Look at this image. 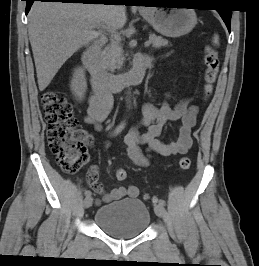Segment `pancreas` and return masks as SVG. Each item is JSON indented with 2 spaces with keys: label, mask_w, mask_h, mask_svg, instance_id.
Returning <instances> with one entry per match:
<instances>
[{
  "label": "pancreas",
  "mask_w": 259,
  "mask_h": 266,
  "mask_svg": "<svg viewBox=\"0 0 259 266\" xmlns=\"http://www.w3.org/2000/svg\"><path fill=\"white\" fill-rule=\"evenodd\" d=\"M120 42L121 39L118 36L112 38L110 44L100 54L101 64L110 72L120 69L123 64V50ZM151 43L154 48L168 46V41L160 36H153Z\"/></svg>",
  "instance_id": "pancreas-1"
}]
</instances>
